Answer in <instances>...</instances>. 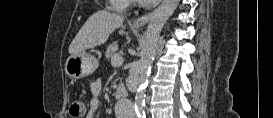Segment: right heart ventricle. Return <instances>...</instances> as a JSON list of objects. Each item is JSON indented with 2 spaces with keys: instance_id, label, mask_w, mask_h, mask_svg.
Returning a JSON list of instances; mask_svg holds the SVG:
<instances>
[{
  "instance_id": "obj_1",
  "label": "right heart ventricle",
  "mask_w": 273,
  "mask_h": 118,
  "mask_svg": "<svg viewBox=\"0 0 273 118\" xmlns=\"http://www.w3.org/2000/svg\"><path fill=\"white\" fill-rule=\"evenodd\" d=\"M111 3L112 7L117 11H122L126 7V2L124 1L112 0Z\"/></svg>"
}]
</instances>
